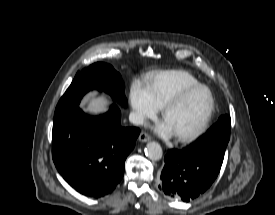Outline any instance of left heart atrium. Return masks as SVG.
<instances>
[{
	"label": "left heart atrium",
	"mask_w": 275,
	"mask_h": 215,
	"mask_svg": "<svg viewBox=\"0 0 275 215\" xmlns=\"http://www.w3.org/2000/svg\"><path fill=\"white\" fill-rule=\"evenodd\" d=\"M158 132L164 136H170L173 134L171 128L166 122H163L159 127H158Z\"/></svg>",
	"instance_id": "obj_1"
}]
</instances>
